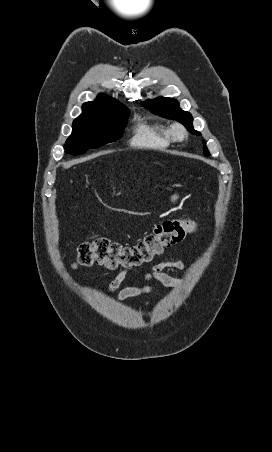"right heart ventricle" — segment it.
<instances>
[{
  "label": "right heart ventricle",
  "instance_id": "right-heart-ventricle-1",
  "mask_svg": "<svg viewBox=\"0 0 272 452\" xmlns=\"http://www.w3.org/2000/svg\"><path fill=\"white\" fill-rule=\"evenodd\" d=\"M172 135L163 122L139 121L133 131L130 144L135 148L160 150L170 146Z\"/></svg>",
  "mask_w": 272,
  "mask_h": 452
}]
</instances>
